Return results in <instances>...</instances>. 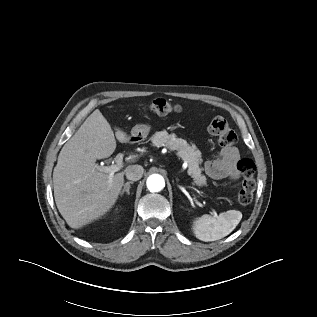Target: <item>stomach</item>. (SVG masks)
<instances>
[{
    "label": "stomach",
    "instance_id": "stomach-1",
    "mask_svg": "<svg viewBox=\"0 0 317 317\" xmlns=\"http://www.w3.org/2000/svg\"><path fill=\"white\" fill-rule=\"evenodd\" d=\"M151 130L149 124H138L132 129V139L136 142L144 140Z\"/></svg>",
    "mask_w": 317,
    "mask_h": 317
}]
</instances>
